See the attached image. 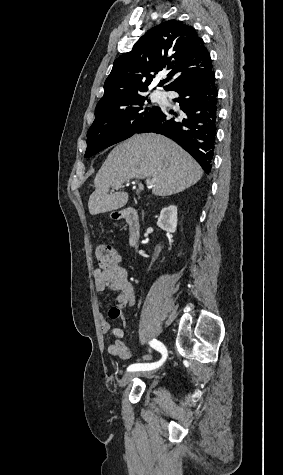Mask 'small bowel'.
Masks as SVG:
<instances>
[{
  "mask_svg": "<svg viewBox=\"0 0 283 475\" xmlns=\"http://www.w3.org/2000/svg\"><path fill=\"white\" fill-rule=\"evenodd\" d=\"M92 275L97 292L105 290L116 292L115 306L109 312L111 324L105 316L104 305L100 304L99 320L101 331L103 334H111L114 337V342L108 345L107 352L115 358L128 360L132 357V351L125 344L124 332L119 327H113L124 324L122 309L135 304L134 290L128 279V274L120 265H114L95 268Z\"/></svg>",
  "mask_w": 283,
  "mask_h": 475,
  "instance_id": "obj_1",
  "label": "small bowel"
}]
</instances>
